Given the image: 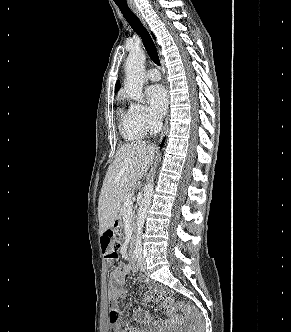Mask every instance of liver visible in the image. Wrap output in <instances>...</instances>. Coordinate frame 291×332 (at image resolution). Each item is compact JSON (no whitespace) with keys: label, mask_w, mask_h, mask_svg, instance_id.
I'll return each instance as SVG.
<instances>
[{"label":"liver","mask_w":291,"mask_h":332,"mask_svg":"<svg viewBox=\"0 0 291 332\" xmlns=\"http://www.w3.org/2000/svg\"><path fill=\"white\" fill-rule=\"evenodd\" d=\"M156 147L131 142L119 148L108 167L98 202L99 233L112 227L120 215L121 200L143 178L153 163Z\"/></svg>","instance_id":"liver-1"}]
</instances>
